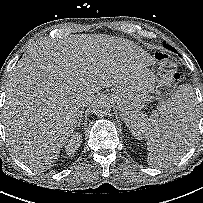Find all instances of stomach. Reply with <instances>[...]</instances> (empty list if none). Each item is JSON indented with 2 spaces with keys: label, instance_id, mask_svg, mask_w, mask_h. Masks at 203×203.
Masks as SVG:
<instances>
[{
  "label": "stomach",
  "instance_id": "stomach-1",
  "mask_svg": "<svg viewBox=\"0 0 203 203\" xmlns=\"http://www.w3.org/2000/svg\"><path fill=\"white\" fill-rule=\"evenodd\" d=\"M153 89L152 73L142 68L133 72L130 79L118 85L113 90L112 98L117 103L121 116L128 121L130 116L148 100L149 93Z\"/></svg>",
  "mask_w": 203,
  "mask_h": 203
}]
</instances>
